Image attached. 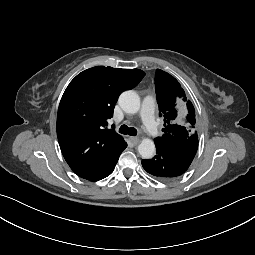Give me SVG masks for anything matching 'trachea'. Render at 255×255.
Segmentation results:
<instances>
[{
	"mask_svg": "<svg viewBox=\"0 0 255 255\" xmlns=\"http://www.w3.org/2000/svg\"><path fill=\"white\" fill-rule=\"evenodd\" d=\"M119 132L124 135H127V134H129L130 136L137 135V130L133 127L129 128L127 125H122L119 129Z\"/></svg>",
	"mask_w": 255,
	"mask_h": 255,
	"instance_id": "1",
	"label": "trachea"
}]
</instances>
